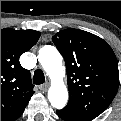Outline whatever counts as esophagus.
<instances>
[{"label":"esophagus","instance_id":"1","mask_svg":"<svg viewBox=\"0 0 121 121\" xmlns=\"http://www.w3.org/2000/svg\"><path fill=\"white\" fill-rule=\"evenodd\" d=\"M48 88H49V84H48V83H45V84H43V85L40 87V90H41L42 92H46V91L48 90Z\"/></svg>","mask_w":121,"mask_h":121}]
</instances>
